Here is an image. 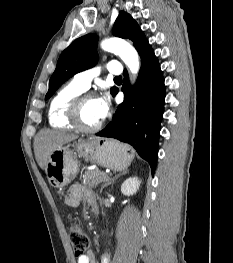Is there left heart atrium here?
Listing matches in <instances>:
<instances>
[{"label":"left heart atrium","mask_w":233,"mask_h":263,"mask_svg":"<svg viewBox=\"0 0 233 263\" xmlns=\"http://www.w3.org/2000/svg\"><path fill=\"white\" fill-rule=\"evenodd\" d=\"M97 101V112L100 120L104 119L109 111L110 99L107 94H103L96 99Z\"/></svg>","instance_id":"1"}]
</instances>
